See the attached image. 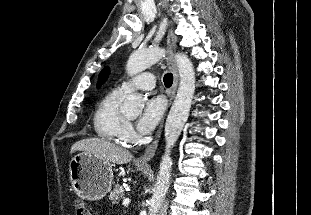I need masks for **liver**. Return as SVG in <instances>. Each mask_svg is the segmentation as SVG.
I'll return each mask as SVG.
<instances>
[{"mask_svg":"<svg viewBox=\"0 0 311 215\" xmlns=\"http://www.w3.org/2000/svg\"><path fill=\"white\" fill-rule=\"evenodd\" d=\"M76 151H83L107 162L120 165L129 163L132 159L128 150L100 138H87L75 142L70 153L73 154Z\"/></svg>","mask_w":311,"mask_h":215,"instance_id":"6515ba94","label":"liver"}]
</instances>
